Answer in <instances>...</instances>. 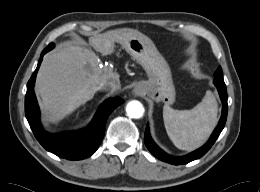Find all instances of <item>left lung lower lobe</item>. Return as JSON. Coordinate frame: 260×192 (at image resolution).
I'll return each instance as SVG.
<instances>
[{
	"mask_svg": "<svg viewBox=\"0 0 260 192\" xmlns=\"http://www.w3.org/2000/svg\"><path fill=\"white\" fill-rule=\"evenodd\" d=\"M214 84L218 89L221 101L223 103V108H222V116L220 118V121L213 131L211 137L209 138L208 142L203 145L201 148L185 155L182 157H173L165 153L162 149H160L155 142L152 140L150 133H149V128L148 125L146 127V132L144 135V142L148 150L158 159L168 162L170 164L174 165H182V164H187L193 160H196L200 157H202L215 143L217 140L218 136L220 135L221 131L224 128L226 119H227V112H228V105H227V89L224 83V80L219 81V80H214Z\"/></svg>",
	"mask_w": 260,
	"mask_h": 192,
	"instance_id": "0a47b994",
	"label": "left lung lower lobe"
}]
</instances>
